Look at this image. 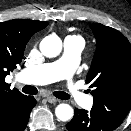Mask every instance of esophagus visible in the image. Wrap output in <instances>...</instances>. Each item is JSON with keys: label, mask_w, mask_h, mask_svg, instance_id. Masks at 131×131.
Masks as SVG:
<instances>
[{"label": "esophagus", "mask_w": 131, "mask_h": 131, "mask_svg": "<svg viewBox=\"0 0 131 131\" xmlns=\"http://www.w3.org/2000/svg\"><path fill=\"white\" fill-rule=\"evenodd\" d=\"M46 100L49 102V103H56V102H58L59 100L57 99V98H55V97H53V96H46Z\"/></svg>", "instance_id": "esophagus-1"}]
</instances>
